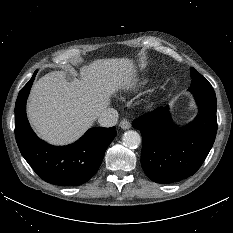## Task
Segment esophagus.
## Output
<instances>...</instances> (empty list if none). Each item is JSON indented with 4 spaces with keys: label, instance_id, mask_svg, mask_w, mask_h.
<instances>
[{
    "label": "esophagus",
    "instance_id": "esophagus-1",
    "mask_svg": "<svg viewBox=\"0 0 233 233\" xmlns=\"http://www.w3.org/2000/svg\"><path fill=\"white\" fill-rule=\"evenodd\" d=\"M119 126L123 129V130H126V129H129L131 127V124L128 120L126 119H123L120 121L119 123Z\"/></svg>",
    "mask_w": 233,
    "mask_h": 233
}]
</instances>
